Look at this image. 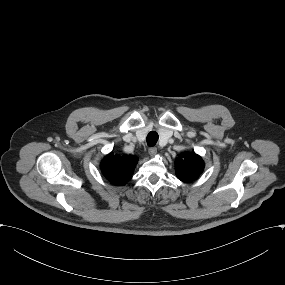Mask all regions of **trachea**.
Returning <instances> with one entry per match:
<instances>
[{
	"mask_svg": "<svg viewBox=\"0 0 285 285\" xmlns=\"http://www.w3.org/2000/svg\"><path fill=\"white\" fill-rule=\"evenodd\" d=\"M159 135L156 131H151L148 133L147 137H146V141L148 146H154L157 141H158Z\"/></svg>",
	"mask_w": 285,
	"mask_h": 285,
	"instance_id": "trachea-1",
	"label": "trachea"
}]
</instances>
